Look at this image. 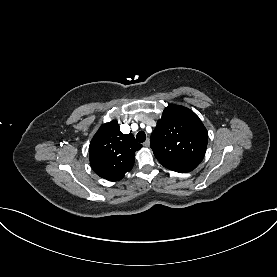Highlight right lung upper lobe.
Here are the masks:
<instances>
[{"instance_id": "right-lung-upper-lobe-1", "label": "right lung upper lobe", "mask_w": 277, "mask_h": 277, "mask_svg": "<svg viewBox=\"0 0 277 277\" xmlns=\"http://www.w3.org/2000/svg\"><path fill=\"white\" fill-rule=\"evenodd\" d=\"M134 136L123 134L116 120L105 123L92 138L89 146L90 165L100 177L118 181L135 162V152L141 149Z\"/></svg>"}]
</instances>
